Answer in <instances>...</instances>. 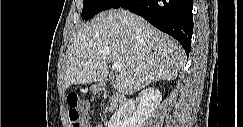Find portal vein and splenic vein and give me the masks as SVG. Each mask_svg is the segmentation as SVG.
<instances>
[{
	"label": "portal vein and splenic vein",
	"instance_id": "1",
	"mask_svg": "<svg viewBox=\"0 0 243 127\" xmlns=\"http://www.w3.org/2000/svg\"><path fill=\"white\" fill-rule=\"evenodd\" d=\"M112 69L114 71L120 72L123 69V66L119 62H112Z\"/></svg>",
	"mask_w": 243,
	"mask_h": 127
}]
</instances>
